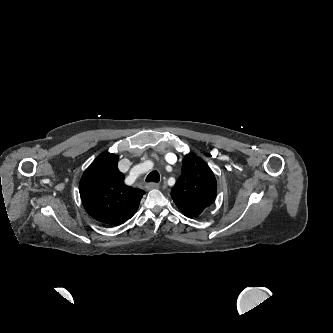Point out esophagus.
Segmentation results:
<instances>
[{
    "label": "esophagus",
    "mask_w": 333,
    "mask_h": 333,
    "mask_svg": "<svg viewBox=\"0 0 333 333\" xmlns=\"http://www.w3.org/2000/svg\"><path fill=\"white\" fill-rule=\"evenodd\" d=\"M159 187V184L158 183H148L146 185V189L147 190H151V189H157Z\"/></svg>",
    "instance_id": "esophagus-1"
}]
</instances>
